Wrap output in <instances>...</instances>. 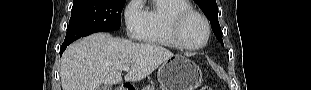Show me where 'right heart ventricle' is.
I'll return each mask as SVG.
<instances>
[{
	"instance_id": "right-heart-ventricle-1",
	"label": "right heart ventricle",
	"mask_w": 311,
	"mask_h": 90,
	"mask_svg": "<svg viewBox=\"0 0 311 90\" xmlns=\"http://www.w3.org/2000/svg\"><path fill=\"white\" fill-rule=\"evenodd\" d=\"M192 9L187 0H154L144 10L145 25L141 40L145 43L179 48L173 38L171 23L176 14Z\"/></svg>"
}]
</instances>
